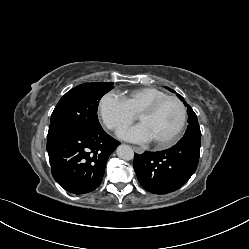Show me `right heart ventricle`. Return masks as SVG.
Masks as SVG:
<instances>
[{
  "label": "right heart ventricle",
  "mask_w": 249,
  "mask_h": 249,
  "mask_svg": "<svg viewBox=\"0 0 249 249\" xmlns=\"http://www.w3.org/2000/svg\"><path fill=\"white\" fill-rule=\"evenodd\" d=\"M164 96L167 94L159 89L144 87L125 92L122 100L133 114H137L144 106Z\"/></svg>",
  "instance_id": "right-heart-ventricle-1"
}]
</instances>
